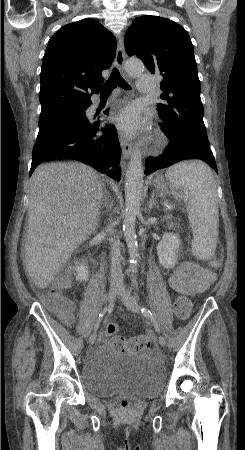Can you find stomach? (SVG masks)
Masks as SVG:
<instances>
[{"mask_svg": "<svg viewBox=\"0 0 245 450\" xmlns=\"http://www.w3.org/2000/svg\"><path fill=\"white\" fill-rule=\"evenodd\" d=\"M153 185L160 194L170 195L174 192L172 185L167 179H164L162 176H157L153 180Z\"/></svg>", "mask_w": 245, "mask_h": 450, "instance_id": "1", "label": "stomach"}]
</instances>
